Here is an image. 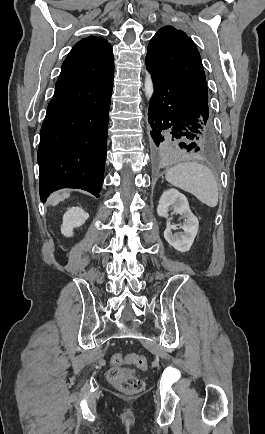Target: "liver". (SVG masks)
Here are the masks:
<instances>
[{
	"instance_id": "6515ba94",
	"label": "liver",
	"mask_w": 265,
	"mask_h": 434,
	"mask_svg": "<svg viewBox=\"0 0 265 434\" xmlns=\"http://www.w3.org/2000/svg\"><path fill=\"white\" fill-rule=\"evenodd\" d=\"M70 194L69 192H62V194H54L52 198H50V202L52 206H57L59 202H63V200H66V198H69Z\"/></svg>"
}]
</instances>
